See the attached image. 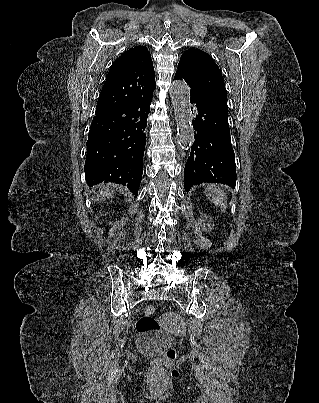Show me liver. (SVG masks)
Listing matches in <instances>:
<instances>
[{
  "instance_id": "obj_1",
  "label": "liver",
  "mask_w": 319,
  "mask_h": 403,
  "mask_svg": "<svg viewBox=\"0 0 319 403\" xmlns=\"http://www.w3.org/2000/svg\"><path fill=\"white\" fill-rule=\"evenodd\" d=\"M99 190H100L99 192L100 196L108 197L113 194V190L110 189L109 185L100 186Z\"/></svg>"
}]
</instances>
